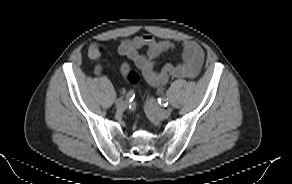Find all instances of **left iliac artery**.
<instances>
[{"label": "left iliac artery", "mask_w": 292, "mask_h": 184, "mask_svg": "<svg viewBox=\"0 0 292 184\" xmlns=\"http://www.w3.org/2000/svg\"><path fill=\"white\" fill-rule=\"evenodd\" d=\"M158 103L160 105H162V106L167 107V105H168V98L160 97V98H158Z\"/></svg>", "instance_id": "left-iliac-artery-1"}]
</instances>
